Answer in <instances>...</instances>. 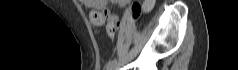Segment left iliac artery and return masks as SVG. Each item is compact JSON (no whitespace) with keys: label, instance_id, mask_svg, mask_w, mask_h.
Segmentation results:
<instances>
[{"label":"left iliac artery","instance_id":"44dca946","mask_svg":"<svg viewBox=\"0 0 238 70\" xmlns=\"http://www.w3.org/2000/svg\"><path fill=\"white\" fill-rule=\"evenodd\" d=\"M135 36L136 37L134 38V41L138 42L139 38H141L142 35H141V33H136ZM131 44L133 45L134 43L132 42ZM128 49L130 50L131 48L129 47ZM116 62H117L116 59L109 61L107 64V69H111L116 64Z\"/></svg>","mask_w":238,"mask_h":70}]
</instances>
